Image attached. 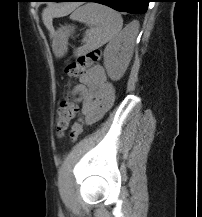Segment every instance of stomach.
<instances>
[{"label": "stomach", "instance_id": "0dacf381", "mask_svg": "<svg viewBox=\"0 0 202 217\" xmlns=\"http://www.w3.org/2000/svg\"><path fill=\"white\" fill-rule=\"evenodd\" d=\"M72 31L73 28L65 27L61 31H59L55 36V44L53 51L57 57H62L67 52V40Z\"/></svg>", "mask_w": 202, "mask_h": 217}]
</instances>
